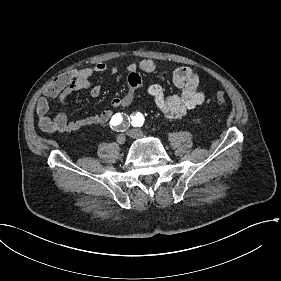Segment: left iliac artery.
<instances>
[{
	"label": "left iliac artery",
	"instance_id": "obj_1",
	"mask_svg": "<svg viewBox=\"0 0 281 281\" xmlns=\"http://www.w3.org/2000/svg\"><path fill=\"white\" fill-rule=\"evenodd\" d=\"M131 118V124L134 127H141L144 122V117L141 113L137 112L136 114H133L130 116Z\"/></svg>",
	"mask_w": 281,
	"mask_h": 281
}]
</instances>
